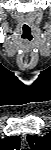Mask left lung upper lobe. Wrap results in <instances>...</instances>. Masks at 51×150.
<instances>
[{
	"label": "left lung upper lobe",
	"instance_id": "left-lung-upper-lobe-1",
	"mask_svg": "<svg viewBox=\"0 0 51 150\" xmlns=\"http://www.w3.org/2000/svg\"><path fill=\"white\" fill-rule=\"evenodd\" d=\"M28 143L34 150H41L42 147H47L49 144H51V134L48 133L47 135L43 137L39 136H28Z\"/></svg>",
	"mask_w": 51,
	"mask_h": 150
}]
</instances>
